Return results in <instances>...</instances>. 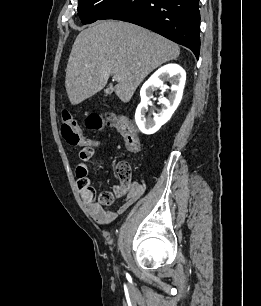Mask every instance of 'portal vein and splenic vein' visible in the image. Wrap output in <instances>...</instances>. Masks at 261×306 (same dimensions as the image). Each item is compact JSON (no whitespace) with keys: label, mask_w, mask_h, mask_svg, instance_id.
Returning <instances> with one entry per match:
<instances>
[{"label":"portal vein and splenic vein","mask_w":261,"mask_h":306,"mask_svg":"<svg viewBox=\"0 0 261 306\" xmlns=\"http://www.w3.org/2000/svg\"><path fill=\"white\" fill-rule=\"evenodd\" d=\"M114 80L115 81H120L121 80V76L120 75H114Z\"/></svg>","instance_id":"1"}]
</instances>
